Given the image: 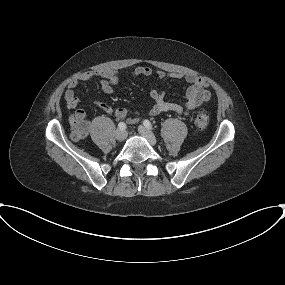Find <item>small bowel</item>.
Listing matches in <instances>:
<instances>
[{
  "label": "small bowel",
  "instance_id": "obj_1",
  "mask_svg": "<svg viewBox=\"0 0 285 285\" xmlns=\"http://www.w3.org/2000/svg\"><path fill=\"white\" fill-rule=\"evenodd\" d=\"M152 74L153 70L147 66H138L129 73V75L132 77H150ZM96 77L101 79V90L105 94H111L113 92V87L119 83L121 74L111 70H92L84 72L78 77L72 79L68 85L67 91L65 92L64 98L67 106L70 109H76L72 117L73 121L83 119L85 117V111L78 108L79 99L76 96L74 89L79 85V83L87 82ZM156 77L163 82L169 78L184 79L189 86L185 92L186 101L184 104L168 102L165 100V92L163 90L152 89L150 95L153 99V105L147 111L149 115L155 116L171 112L186 115L210 99L211 94L208 89V83L200 76L194 74H184L181 72L167 73L159 70L156 72ZM96 103L98 107L105 113L112 114L116 119L119 120L127 119L129 124L135 123L139 119V112H134V117L128 118L130 112L125 108H113L101 101H97Z\"/></svg>",
  "mask_w": 285,
  "mask_h": 285
}]
</instances>
